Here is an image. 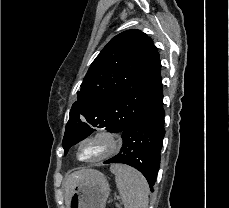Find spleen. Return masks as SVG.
<instances>
[{
  "label": "spleen",
  "instance_id": "obj_1",
  "mask_svg": "<svg viewBox=\"0 0 229 208\" xmlns=\"http://www.w3.org/2000/svg\"><path fill=\"white\" fill-rule=\"evenodd\" d=\"M110 172L115 176L124 208H148L149 186L140 172L124 164H112Z\"/></svg>",
  "mask_w": 229,
  "mask_h": 208
}]
</instances>
